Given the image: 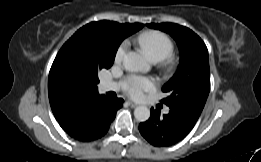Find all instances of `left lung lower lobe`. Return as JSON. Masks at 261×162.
Listing matches in <instances>:
<instances>
[{"label": "left lung lower lobe", "instance_id": "left-lung-lower-lobe-1", "mask_svg": "<svg viewBox=\"0 0 261 162\" xmlns=\"http://www.w3.org/2000/svg\"><path fill=\"white\" fill-rule=\"evenodd\" d=\"M201 113L188 105L178 104L170 107L163 117L159 110L151 109V116L139 125L142 136L156 147L171 146L188 135Z\"/></svg>", "mask_w": 261, "mask_h": 162}]
</instances>
